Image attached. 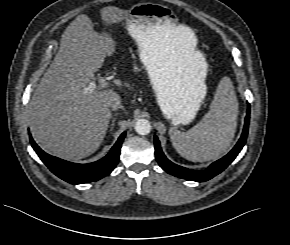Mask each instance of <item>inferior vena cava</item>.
Wrapping results in <instances>:
<instances>
[{
	"instance_id": "602c4592",
	"label": "inferior vena cava",
	"mask_w": 290,
	"mask_h": 245,
	"mask_svg": "<svg viewBox=\"0 0 290 245\" xmlns=\"http://www.w3.org/2000/svg\"><path fill=\"white\" fill-rule=\"evenodd\" d=\"M110 107L112 108V110H117V109H122L123 108V106L121 104V100L119 98L113 100L110 103Z\"/></svg>"
}]
</instances>
